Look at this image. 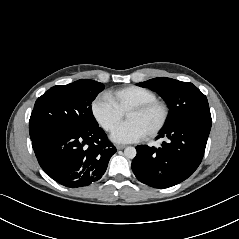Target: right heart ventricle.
<instances>
[{
  "label": "right heart ventricle",
  "mask_w": 239,
  "mask_h": 239,
  "mask_svg": "<svg viewBox=\"0 0 239 239\" xmlns=\"http://www.w3.org/2000/svg\"><path fill=\"white\" fill-rule=\"evenodd\" d=\"M106 95L123 114L134 106L157 100L152 90L134 85L110 91Z\"/></svg>",
  "instance_id": "right-heart-ventricle-1"
}]
</instances>
